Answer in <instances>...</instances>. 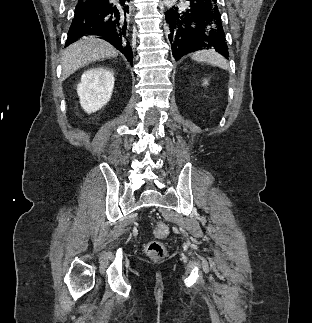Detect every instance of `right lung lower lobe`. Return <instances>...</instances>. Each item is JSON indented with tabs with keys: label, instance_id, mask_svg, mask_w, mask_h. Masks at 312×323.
Segmentation results:
<instances>
[{
	"label": "right lung lower lobe",
	"instance_id": "1",
	"mask_svg": "<svg viewBox=\"0 0 312 323\" xmlns=\"http://www.w3.org/2000/svg\"><path fill=\"white\" fill-rule=\"evenodd\" d=\"M132 0H78L66 45L84 35H97L121 51L131 64L129 14Z\"/></svg>",
	"mask_w": 312,
	"mask_h": 323
}]
</instances>
